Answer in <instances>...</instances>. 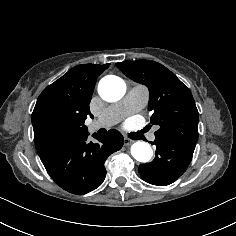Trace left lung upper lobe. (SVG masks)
Returning a JSON list of instances; mask_svg holds the SVG:
<instances>
[{
    "mask_svg": "<svg viewBox=\"0 0 236 236\" xmlns=\"http://www.w3.org/2000/svg\"><path fill=\"white\" fill-rule=\"evenodd\" d=\"M116 66L127 77L149 88L148 109L154 111L151 124L159 126L155 137L196 145L198 110L190 90L175 74L162 64L145 59L123 61Z\"/></svg>",
    "mask_w": 236,
    "mask_h": 236,
    "instance_id": "left-lung-upper-lobe-1",
    "label": "left lung upper lobe"
}]
</instances>
